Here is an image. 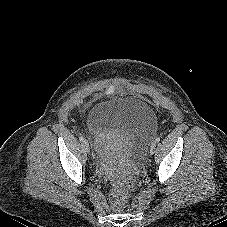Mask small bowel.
Returning <instances> with one entry per match:
<instances>
[{"mask_svg":"<svg viewBox=\"0 0 227 227\" xmlns=\"http://www.w3.org/2000/svg\"><path fill=\"white\" fill-rule=\"evenodd\" d=\"M114 90L112 89V88H110L109 90H108V92L109 93H112Z\"/></svg>","mask_w":227,"mask_h":227,"instance_id":"c3829d8e","label":"small bowel"}]
</instances>
